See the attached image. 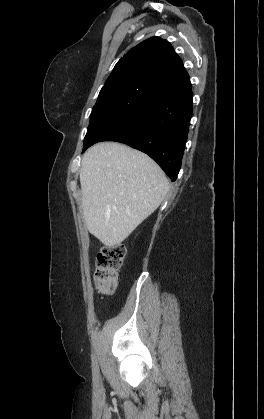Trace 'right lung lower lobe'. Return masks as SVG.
<instances>
[{
  "instance_id": "98d812e1",
  "label": "right lung lower lobe",
  "mask_w": 264,
  "mask_h": 419,
  "mask_svg": "<svg viewBox=\"0 0 264 419\" xmlns=\"http://www.w3.org/2000/svg\"><path fill=\"white\" fill-rule=\"evenodd\" d=\"M191 87L154 96L101 141H117L149 155L175 181L192 116Z\"/></svg>"
}]
</instances>
